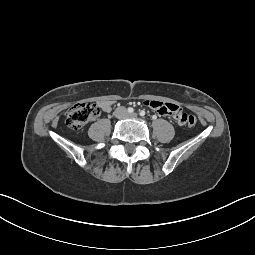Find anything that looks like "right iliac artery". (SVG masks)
Instances as JSON below:
<instances>
[{
  "label": "right iliac artery",
  "mask_w": 255,
  "mask_h": 255,
  "mask_svg": "<svg viewBox=\"0 0 255 255\" xmlns=\"http://www.w3.org/2000/svg\"><path fill=\"white\" fill-rule=\"evenodd\" d=\"M127 111H128V113H133V112H134V109H133L132 107H129V108L127 109Z\"/></svg>",
  "instance_id": "82829eb1"
}]
</instances>
